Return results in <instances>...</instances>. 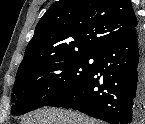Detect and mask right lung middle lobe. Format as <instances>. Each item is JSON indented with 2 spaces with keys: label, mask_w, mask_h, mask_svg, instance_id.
I'll list each match as a JSON object with an SVG mask.
<instances>
[{
  "label": "right lung middle lobe",
  "mask_w": 145,
  "mask_h": 124,
  "mask_svg": "<svg viewBox=\"0 0 145 124\" xmlns=\"http://www.w3.org/2000/svg\"><path fill=\"white\" fill-rule=\"evenodd\" d=\"M97 55H69L47 60L16 78L11 99L13 115H21L45 106L74 87L93 70ZM93 59V63L89 60Z\"/></svg>",
  "instance_id": "1"
}]
</instances>
